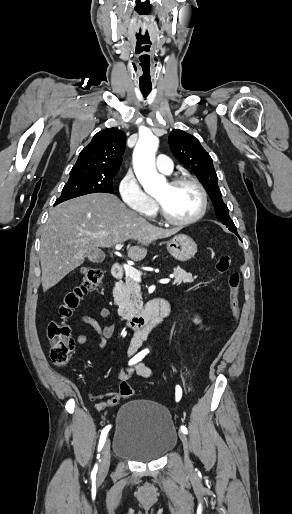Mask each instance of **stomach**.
<instances>
[{
  "label": "stomach",
  "instance_id": "obj_1",
  "mask_svg": "<svg viewBox=\"0 0 292 514\" xmlns=\"http://www.w3.org/2000/svg\"><path fill=\"white\" fill-rule=\"evenodd\" d=\"M167 250L175 260L179 262H187L195 256L197 252V244L192 238L185 236V234H178L172 240L167 242Z\"/></svg>",
  "mask_w": 292,
  "mask_h": 514
}]
</instances>
